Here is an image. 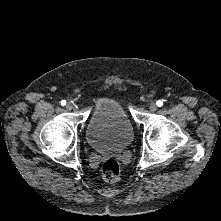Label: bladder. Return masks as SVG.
Instances as JSON below:
<instances>
[{
    "label": "bladder",
    "mask_w": 221,
    "mask_h": 221,
    "mask_svg": "<svg viewBox=\"0 0 221 221\" xmlns=\"http://www.w3.org/2000/svg\"><path fill=\"white\" fill-rule=\"evenodd\" d=\"M133 138V126L121 104L111 97L101 98L87 124L88 144L97 150L121 151Z\"/></svg>",
    "instance_id": "obj_1"
}]
</instances>
